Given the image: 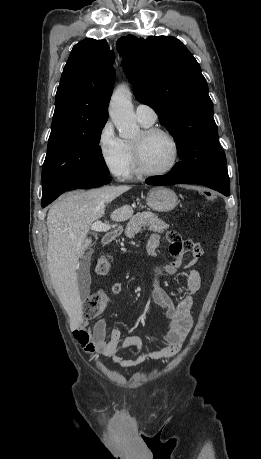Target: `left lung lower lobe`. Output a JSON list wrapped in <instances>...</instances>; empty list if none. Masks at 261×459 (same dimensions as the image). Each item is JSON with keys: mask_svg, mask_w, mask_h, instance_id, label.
<instances>
[{"mask_svg": "<svg viewBox=\"0 0 261 459\" xmlns=\"http://www.w3.org/2000/svg\"><path fill=\"white\" fill-rule=\"evenodd\" d=\"M148 185H172L177 183H197L214 189L225 196L230 194L229 176L226 166L206 167L188 175L172 169L167 175L148 178Z\"/></svg>", "mask_w": 261, "mask_h": 459, "instance_id": "1", "label": "left lung lower lobe"}]
</instances>
